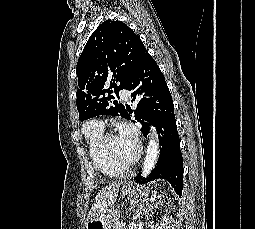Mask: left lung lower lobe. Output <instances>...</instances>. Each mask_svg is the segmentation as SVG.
<instances>
[{"instance_id": "obj_1", "label": "left lung lower lobe", "mask_w": 255, "mask_h": 229, "mask_svg": "<svg viewBox=\"0 0 255 229\" xmlns=\"http://www.w3.org/2000/svg\"><path fill=\"white\" fill-rule=\"evenodd\" d=\"M125 89L131 91L132 102L137 100L136 110L134 113L127 110L126 119L131 120L134 115L142 126L144 136L148 134L149 125L155 126L160 133V156L147 180L165 179L181 196L183 158L172 96L159 66L147 50L141 55ZM135 180L142 183L145 179L139 174Z\"/></svg>"}]
</instances>
